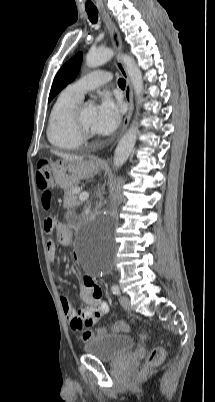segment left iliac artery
<instances>
[{"instance_id":"left-iliac-artery-1","label":"left iliac artery","mask_w":215,"mask_h":402,"mask_svg":"<svg viewBox=\"0 0 215 402\" xmlns=\"http://www.w3.org/2000/svg\"><path fill=\"white\" fill-rule=\"evenodd\" d=\"M111 290H112L113 294L120 295V290H119V287L117 285H113L111 287Z\"/></svg>"}]
</instances>
